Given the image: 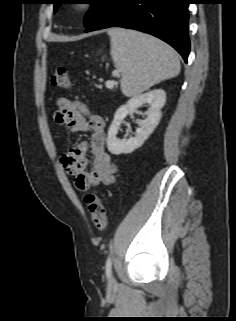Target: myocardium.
I'll use <instances>...</instances> for the list:
<instances>
[{
  "mask_svg": "<svg viewBox=\"0 0 236 321\" xmlns=\"http://www.w3.org/2000/svg\"><path fill=\"white\" fill-rule=\"evenodd\" d=\"M93 7L91 3L77 2L68 5L67 10L73 16H83L90 13Z\"/></svg>",
  "mask_w": 236,
  "mask_h": 321,
  "instance_id": "1",
  "label": "myocardium"
}]
</instances>
